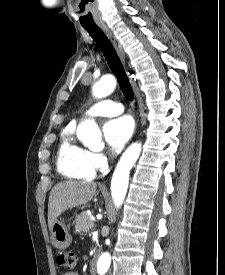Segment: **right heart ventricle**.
<instances>
[{
    "label": "right heart ventricle",
    "mask_w": 225,
    "mask_h": 275,
    "mask_svg": "<svg viewBox=\"0 0 225 275\" xmlns=\"http://www.w3.org/2000/svg\"><path fill=\"white\" fill-rule=\"evenodd\" d=\"M57 168L61 174L73 179H91L96 174V169L90 163L88 151L73 144L70 135L63 139L58 150Z\"/></svg>",
    "instance_id": "1"
}]
</instances>
